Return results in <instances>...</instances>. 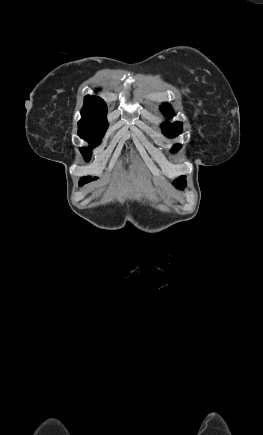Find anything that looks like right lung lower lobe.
<instances>
[{"label":"right lung lower lobe","mask_w":263,"mask_h":435,"mask_svg":"<svg viewBox=\"0 0 263 435\" xmlns=\"http://www.w3.org/2000/svg\"><path fill=\"white\" fill-rule=\"evenodd\" d=\"M79 185H80V186H82V185H83V183H79Z\"/></svg>","instance_id":"obj_1"}]
</instances>
